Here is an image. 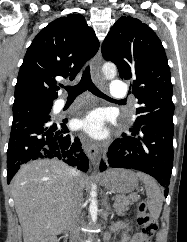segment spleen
<instances>
[{"label": "spleen", "mask_w": 187, "mask_h": 242, "mask_svg": "<svg viewBox=\"0 0 187 242\" xmlns=\"http://www.w3.org/2000/svg\"><path fill=\"white\" fill-rule=\"evenodd\" d=\"M136 176L139 177L145 185L146 193L149 198L147 201L148 209L152 218L157 220L160 216L163 205L161 189L152 177L140 172H138Z\"/></svg>", "instance_id": "3e777b00"}]
</instances>
